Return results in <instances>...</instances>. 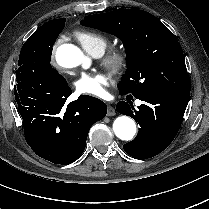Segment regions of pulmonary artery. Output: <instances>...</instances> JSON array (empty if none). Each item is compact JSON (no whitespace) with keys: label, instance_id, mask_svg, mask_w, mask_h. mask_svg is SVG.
Wrapping results in <instances>:
<instances>
[{"label":"pulmonary artery","instance_id":"1","mask_svg":"<svg viewBox=\"0 0 209 209\" xmlns=\"http://www.w3.org/2000/svg\"><path fill=\"white\" fill-rule=\"evenodd\" d=\"M102 54V52L101 51H97V52H95L93 55L94 56H100ZM140 103V101H138V104Z\"/></svg>","mask_w":209,"mask_h":209}]
</instances>
